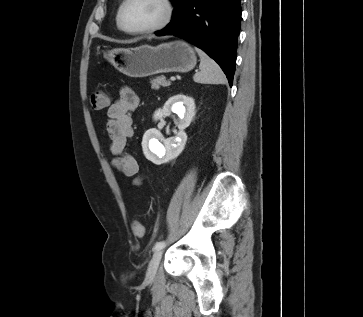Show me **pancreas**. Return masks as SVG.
<instances>
[{"label": "pancreas", "instance_id": "cf45deb5", "mask_svg": "<svg viewBox=\"0 0 363 317\" xmlns=\"http://www.w3.org/2000/svg\"><path fill=\"white\" fill-rule=\"evenodd\" d=\"M170 84V81H167L164 76H159L151 80V88L155 90H158L160 86L167 87Z\"/></svg>", "mask_w": 363, "mask_h": 317}]
</instances>
